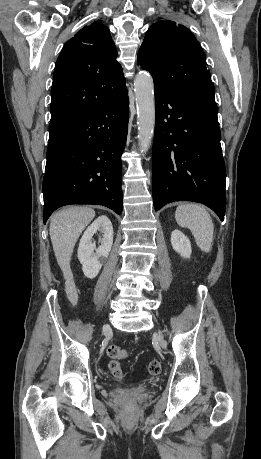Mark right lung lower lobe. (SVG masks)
Here are the masks:
<instances>
[{
    "label": "right lung lower lobe",
    "mask_w": 261,
    "mask_h": 459,
    "mask_svg": "<svg viewBox=\"0 0 261 459\" xmlns=\"http://www.w3.org/2000/svg\"><path fill=\"white\" fill-rule=\"evenodd\" d=\"M125 88L49 139L43 221L69 204H99L122 213L121 155L128 131Z\"/></svg>",
    "instance_id": "obj_1"
}]
</instances>
